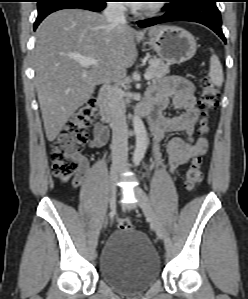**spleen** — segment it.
Listing matches in <instances>:
<instances>
[{
    "label": "spleen",
    "mask_w": 248,
    "mask_h": 299,
    "mask_svg": "<svg viewBox=\"0 0 248 299\" xmlns=\"http://www.w3.org/2000/svg\"><path fill=\"white\" fill-rule=\"evenodd\" d=\"M209 76L213 84L221 86L224 81L222 65L217 57L213 54L210 59Z\"/></svg>",
    "instance_id": "1"
}]
</instances>
